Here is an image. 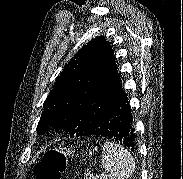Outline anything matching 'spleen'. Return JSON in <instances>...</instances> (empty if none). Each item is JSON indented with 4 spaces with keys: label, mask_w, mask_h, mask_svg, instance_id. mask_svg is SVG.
I'll list each match as a JSON object with an SVG mask.
<instances>
[{
    "label": "spleen",
    "mask_w": 183,
    "mask_h": 179,
    "mask_svg": "<svg viewBox=\"0 0 183 179\" xmlns=\"http://www.w3.org/2000/svg\"><path fill=\"white\" fill-rule=\"evenodd\" d=\"M101 163L109 173V179H128L135 171V161L123 146L105 142L102 146Z\"/></svg>",
    "instance_id": "obj_1"
}]
</instances>
